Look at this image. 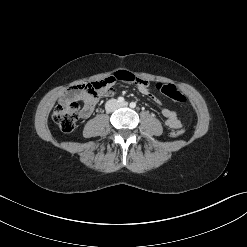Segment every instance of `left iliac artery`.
<instances>
[{
	"mask_svg": "<svg viewBox=\"0 0 247 247\" xmlns=\"http://www.w3.org/2000/svg\"><path fill=\"white\" fill-rule=\"evenodd\" d=\"M130 107H131V108H135V107H136V103H135V102H131V103H130Z\"/></svg>",
	"mask_w": 247,
	"mask_h": 247,
	"instance_id": "1",
	"label": "left iliac artery"
}]
</instances>
